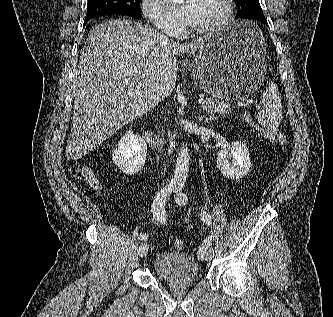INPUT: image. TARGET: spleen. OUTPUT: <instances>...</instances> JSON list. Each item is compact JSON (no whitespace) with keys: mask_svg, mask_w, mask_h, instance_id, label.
Here are the masks:
<instances>
[{"mask_svg":"<svg viewBox=\"0 0 333 317\" xmlns=\"http://www.w3.org/2000/svg\"><path fill=\"white\" fill-rule=\"evenodd\" d=\"M262 102L263 109L258 113V122L268 131L276 132L282 120V102L278 87L274 82L267 84Z\"/></svg>","mask_w":333,"mask_h":317,"instance_id":"3e777b00","label":"spleen"}]
</instances>
